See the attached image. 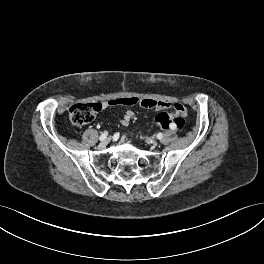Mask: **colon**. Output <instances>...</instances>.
<instances>
[{"label":"colon","mask_w":264,"mask_h":264,"mask_svg":"<svg viewBox=\"0 0 264 264\" xmlns=\"http://www.w3.org/2000/svg\"><path fill=\"white\" fill-rule=\"evenodd\" d=\"M132 99L129 97L116 98L108 101L110 105H131ZM102 109L101 103L74 104L69 109V121L72 125L80 127L90 123L95 114ZM186 111L181 105L175 109L174 113L160 112L155 117V124L159 128L168 129L174 124L177 129H182L185 125Z\"/></svg>","instance_id":"5ec220e1"}]
</instances>
